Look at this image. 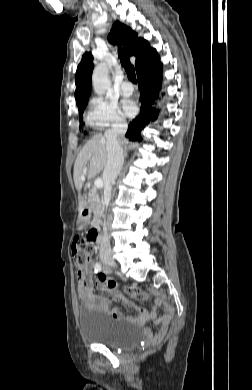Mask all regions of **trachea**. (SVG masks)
Instances as JSON below:
<instances>
[{"instance_id":"obj_1","label":"trachea","mask_w":252,"mask_h":390,"mask_svg":"<svg viewBox=\"0 0 252 390\" xmlns=\"http://www.w3.org/2000/svg\"><path fill=\"white\" fill-rule=\"evenodd\" d=\"M118 55H119L120 61L122 63V66L125 68V71H126V73L128 75L129 80L131 82H133L134 84H136L137 83V79H136L134 66L128 60V56H127L125 50L122 47H119Z\"/></svg>"}]
</instances>
